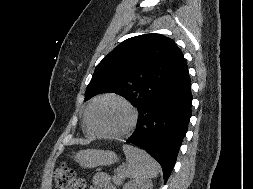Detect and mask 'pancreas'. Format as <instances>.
<instances>
[{
    "label": "pancreas",
    "instance_id": "pancreas-1",
    "mask_svg": "<svg viewBox=\"0 0 253 189\" xmlns=\"http://www.w3.org/2000/svg\"><path fill=\"white\" fill-rule=\"evenodd\" d=\"M124 178H125L124 173L122 171H117V173L113 176L112 180L116 186H120L122 185Z\"/></svg>",
    "mask_w": 253,
    "mask_h": 189
}]
</instances>
